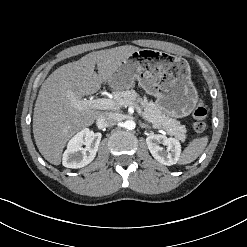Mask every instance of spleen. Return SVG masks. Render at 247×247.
<instances>
[{
	"label": "spleen",
	"mask_w": 247,
	"mask_h": 247,
	"mask_svg": "<svg viewBox=\"0 0 247 247\" xmlns=\"http://www.w3.org/2000/svg\"><path fill=\"white\" fill-rule=\"evenodd\" d=\"M207 143V136L193 139L181 154L179 163L185 165L193 162L200 154H202Z\"/></svg>",
	"instance_id": "obj_1"
}]
</instances>
